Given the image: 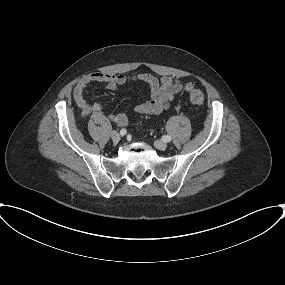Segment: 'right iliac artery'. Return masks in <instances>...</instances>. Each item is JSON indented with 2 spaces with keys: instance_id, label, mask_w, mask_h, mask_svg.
Segmentation results:
<instances>
[{
  "instance_id": "right-iliac-artery-1",
  "label": "right iliac artery",
  "mask_w": 285,
  "mask_h": 285,
  "mask_svg": "<svg viewBox=\"0 0 285 285\" xmlns=\"http://www.w3.org/2000/svg\"><path fill=\"white\" fill-rule=\"evenodd\" d=\"M126 133H127L126 129H121V130H120V134H121L122 136H124Z\"/></svg>"
}]
</instances>
